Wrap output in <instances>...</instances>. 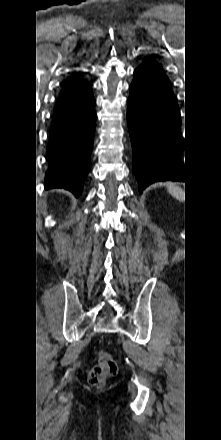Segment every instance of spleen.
Listing matches in <instances>:
<instances>
[{
	"label": "spleen",
	"instance_id": "3e777b00",
	"mask_svg": "<svg viewBox=\"0 0 221 440\" xmlns=\"http://www.w3.org/2000/svg\"><path fill=\"white\" fill-rule=\"evenodd\" d=\"M167 189L170 195H172L174 198L182 201L184 199V191L181 187L177 186L174 183H167Z\"/></svg>",
	"mask_w": 221,
	"mask_h": 440
}]
</instances>
